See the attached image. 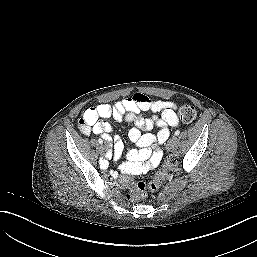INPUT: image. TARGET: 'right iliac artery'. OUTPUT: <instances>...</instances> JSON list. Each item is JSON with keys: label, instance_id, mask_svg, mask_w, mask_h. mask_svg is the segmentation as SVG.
<instances>
[{"label": "right iliac artery", "instance_id": "82829eb1", "mask_svg": "<svg viewBox=\"0 0 257 257\" xmlns=\"http://www.w3.org/2000/svg\"><path fill=\"white\" fill-rule=\"evenodd\" d=\"M98 142H99V144H103L102 139H99ZM100 164H101V167H102V168H105L106 165H107V162H106L105 160H101V161H100Z\"/></svg>", "mask_w": 257, "mask_h": 257}]
</instances>
